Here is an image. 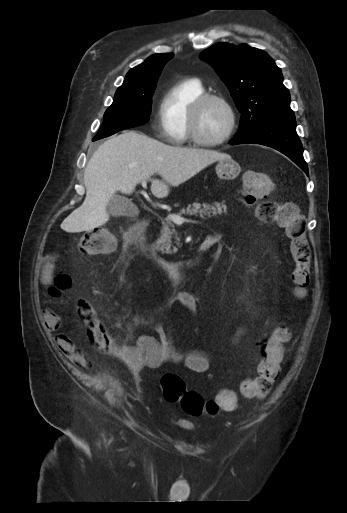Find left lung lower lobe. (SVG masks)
<instances>
[{
	"mask_svg": "<svg viewBox=\"0 0 347 513\" xmlns=\"http://www.w3.org/2000/svg\"><path fill=\"white\" fill-rule=\"evenodd\" d=\"M253 143L274 148L288 156L308 175V167L303 158L302 144L296 133L295 120H274L264 123L253 131L235 137L231 145Z\"/></svg>",
	"mask_w": 347,
	"mask_h": 513,
	"instance_id": "left-lung-lower-lobe-1",
	"label": "left lung lower lobe"
}]
</instances>
